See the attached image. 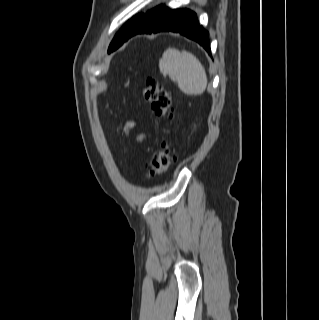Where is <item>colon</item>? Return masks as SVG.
I'll return each instance as SVG.
<instances>
[{
    "instance_id": "1",
    "label": "colon",
    "mask_w": 319,
    "mask_h": 320,
    "mask_svg": "<svg viewBox=\"0 0 319 320\" xmlns=\"http://www.w3.org/2000/svg\"><path fill=\"white\" fill-rule=\"evenodd\" d=\"M143 97L151 105L155 119L158 122H167L172 119L171 95L157 80L148 79L142 89ZM151 154L149 176L165 173L173 163V153L166 141H162L158 147H149Z\"/></svg>"
}]
</instances>
